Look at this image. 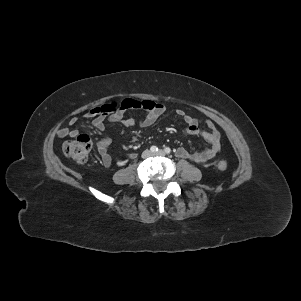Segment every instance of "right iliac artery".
Instances as JSON below:
<instances>
[{
    "label": "right iliac artery",
    "instance_id": "1",
    "mask_svg": "<svg viewBox=\"0 0 301 301\" xmlns=\"http://www.w3.org/2000/svg\"><path fill=\"white\" fill-rule=\"evenodd\" d=\"M151 152H157L158 151V148L156 146H151L150 148Z\"/></svg>",
    "mask_w": 301,
    "mask_h": 301
}]
</instances>
